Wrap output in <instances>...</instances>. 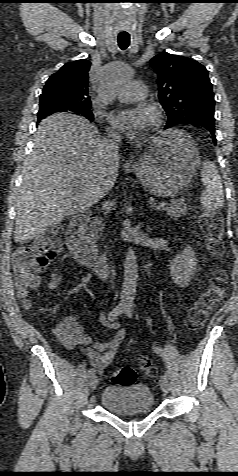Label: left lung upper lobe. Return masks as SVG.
<instances>
[{
	"instance_id": "1",
	"label": "left lung upper lobe",
	"mask_w": 238,
	"mask_h": 476,
	"mask_svg": "<svg viewBox=\"0 0 238 476\" xmlns=\"http://www.w3.org/2000/svg\"><path fill=\"white\" fill-rule=\"evenodd\" d=\"M150 65L158 75V96L168 116L165 129L215 121L212 84L203 65L167 52L152 58Z\"/></svg>"
}]
</instances>
